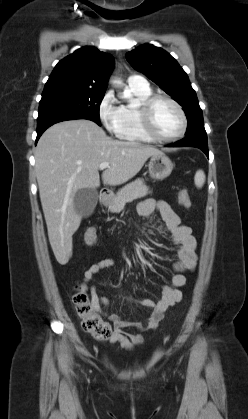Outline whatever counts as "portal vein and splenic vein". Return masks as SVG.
<instances>
[{
	"label": "portal vein and splenic vein",
	"instance_id": "18ae733b",
	"mask_svg": "<svg viewBox=\"0 0 248 419\" xmlns=\"http://www.w3.org/2000/svg\"><path fill=\"white\" fill-rule=\"evenodd\" d=\"M108 167H109V163H107V162L101 163V164H100V166H99V168H100L101 170H104V169H106V168H108Z\"/></svg>",
	"mask_w": 248,
	"mask_h": 419
}]
</instances>
